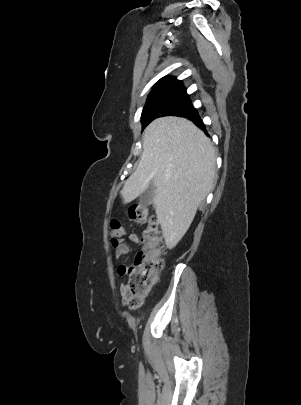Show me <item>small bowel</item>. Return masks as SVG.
<instances>
[{
    "label": "small bowel",
    "instance_id": "small-bowel-1",
    "mask_svg": "<svg viewBox=\"0 0 301 405\" xmlns=\"http://www.w3.org/2000/svg\"><path fill=\"white\" fill-rule=\"evenodd\" d=\"M127 240L132 242V243H139L140 239L138 237L137 234L135 233H130L127 235ZM113 247L115 248V256L116 258H120L123 257L125 255H127L130 252V247L128 245V243L124 240V239H117L114 244ZM130 266H127L125 264H120L117 268V272L120 276H124L127 275L129 272ZM120 295L123 299V301H126L127 296H128V292H127V288L125 285H122L120 287Z\"/></svg>",
    "mask_w": 301,
    "mask_h": 405
}]
</instances>
